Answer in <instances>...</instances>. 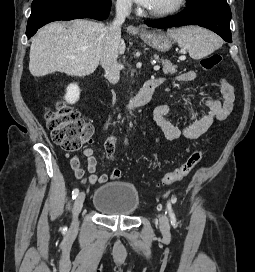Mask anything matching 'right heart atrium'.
I'll use <instances>...</instances> for the list:
<instances>
[{"label":"right heart atrium","mask_w":255,"mask_h":272,"mask_svg":"<svg viewBox=\"0 0 255 272\" xmlns=\"http://www.w3.org/2000/svg\"><path fill=\"white\" fill-rule=\"evenodd\" d=\"M116 5L121 11H129L131 8L130 0H116Z\"/></svg>","instance_id":"right-heart-atrium-1"}]
</instances>
